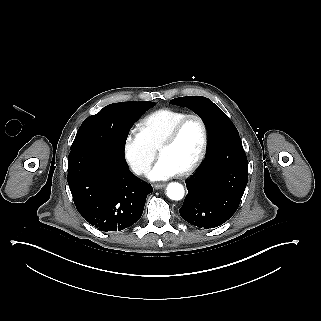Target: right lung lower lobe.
I'll list each match as a JSON object with an SVG mask.
<instances>
[{
    "label": "right lung lower lobe",
    "mask_w": 321,
    "mask_h": 321,
    "mask_svg": "<svg viewBox=\"0 0 321 321\" xmlns=\"http://www.w3.org/2000/svg\"><path fill=\"white\" fill-rule=\"evenodd\" d=\"M143 114L138 107L110 111L116 135L127 139ZM67 182L78 212L101 231H120L137 222L150 184L130 172L124 154L98 148H80L68 157Z\"/></svg>",
    "instance_id": "obj_1"
}]
</instances>
